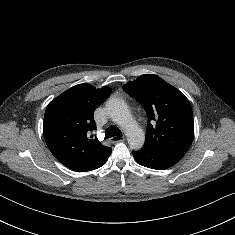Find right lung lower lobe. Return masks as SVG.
I'll list each match as a JSON object with an SVG mask.
<instances>
[{
  "label": "right lung lower lobe",
  "instance_id": "right-lung-lower-lobe-1",
  "mask_svg": "<svg viewBox=\"0 0 235 235\" xmlns=\"http://www.w3.org/2000/svg\"><path fill=\"white\" fill-rule=\"evenodd\" d=\"M110 154H111V152L108 153L107 155H105V157L92 170L103 166L106 163V161H107L108 157L110 156Z\"/></svg>",
  "mask_w": 235,
  "mask_h": 235
}]
</instances>
